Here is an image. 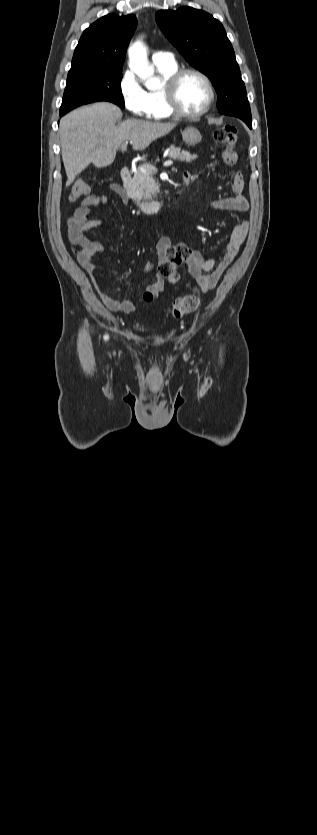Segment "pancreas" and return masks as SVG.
Masks as SVG:
<instances>
[{"instance_id": "pancreas-1", "label": "pancreas", "mask_w": 317, "mask_h": 835, "mask_svg": "<svg viewBox=\"0 0 317 835\" xmlns=\"http://www.w3.org/2000/svg\"><path fill=\"white\" fill-rule=\"evenodd\" d=\"M168 157L180 162L190 163L197 158L196 155L190 154L188 151H181L180 148L170 147ZM140 167L147 168L146 172L140 170ZM134 173L133 178L127 184V195L135 202L141 200H149L155 197L157 192V183L153 179L155 173L151 168L154 167L150 163L142 164Z\"/></svg>"}]
</instances>
